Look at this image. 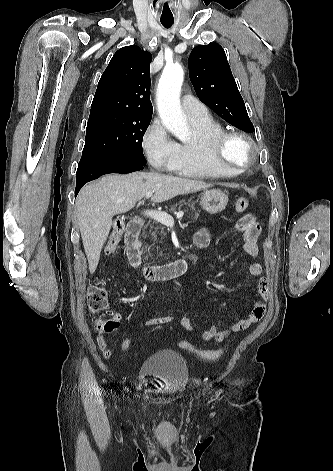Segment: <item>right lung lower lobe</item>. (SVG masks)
<instances>
[{
    "instance_id": "98d812e1",
    "label": "right lung lower lobe",
    "mask_w": 333,
    "mask_h": 471,
    "mask_svg": "<svg viewBox=\"0 0 333 471\" xmlns=\"http://www.w3.org/2000/svg\"><path fill=\"white\" fill-rule=\"evenodd\" d=\"M143 169V164L110 158L94 157L81 159L76 172L75 197L87 182L108 173H130Z\"/></svg>"
}]
</instances>
